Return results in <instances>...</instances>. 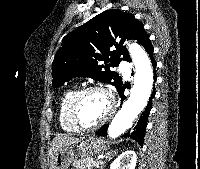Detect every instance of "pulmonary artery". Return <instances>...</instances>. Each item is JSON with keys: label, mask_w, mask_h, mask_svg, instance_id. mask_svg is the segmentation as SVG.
Instances as JSON below:
<instances>
[{"label": "pulmonary artery", "mask_w": 200, "mask_h": 169, "mask_svg": "<svg viewBox=\"0 0 200 169\" xmlns=\"http://www.w3.org/2000/svg\"><path fill=\"white\" fill-rule=\"evenodd\" d=\"M120 69L122 70V72L128 76L129 75V71L125 68V66L123 65V63H121Z\"/></svg>", "instance_id": "pulmonary-artery-1"}]
</instances>
